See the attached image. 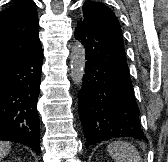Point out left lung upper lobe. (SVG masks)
<instances>
[{
	"mask_svg": "<svg viewBox=\"0 0 168 162\" xmlns=\"http://www.w3.org/2000/svg\"><path fill=\"white\" fill-rule=\"evenodd\" d=\"M80 19H87L123 42L122 32L114 12L103 3L86 1Z\"/></svg>",
	"mask_w": 168,
	"mask_h": 162,
	"instance_id": "1",
	"label": "left lung upper lobe"
}]
</instances>
